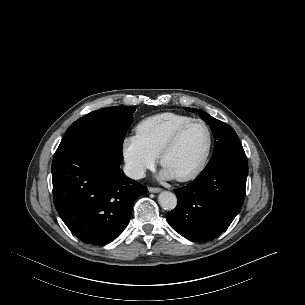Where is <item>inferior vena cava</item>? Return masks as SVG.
Returning <instances> with one entry per match:
<instances>
[{
  "mask_svg": "<svg viewBox=\"0 0 305 305\" xmlns=\"http://www.w3.org/2000/svg\"><path fill=\"white\" fill-rule=\"evenodd\" d=\"M123 171L125 175L131 179H142L145 177V170L141 165L126 163Z\"/></svg>",
  "mask_w": 305,
  "mask_h": 305,
  "instance_id": "inferior-vena-cava-1",
  "label": "inferior vena cava"
}]
</instances>
